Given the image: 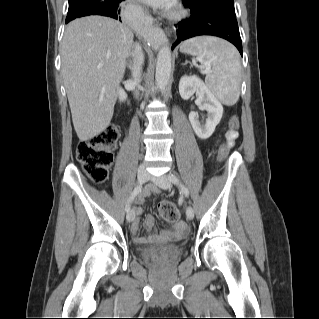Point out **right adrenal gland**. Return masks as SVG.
Returning <instances> with one entry per match:
<instances>
[{
    "instance_id": "2a0ac1e0",
    "label": "right adrenal gland",
    "mask_w": 319,
    "mask_h": 319,
    "mask_svg": "<svg viewBox=\"0 0 319 319\" xmlns=\"http://www.w3.org/2000/svg\"><path fill=\"white\" fill-rule=\"evenodd\" d=\"M128 62H129V63L127 64L128 68H129V69H132V63H131V60L129 59V60H128Z\"/></svg>"
}]
</instances>
